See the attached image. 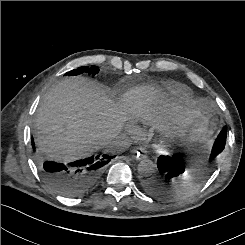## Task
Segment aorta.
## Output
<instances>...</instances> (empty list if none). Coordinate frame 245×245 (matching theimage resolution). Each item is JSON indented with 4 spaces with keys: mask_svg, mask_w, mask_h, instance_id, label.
Wrapping results in <instances>:
<instances>
[{
    "mask_svg": "<svg viewBox=\"0 0 245 245\" xmlns=\"http://www.w3.org/2000/svg\"><path fill=\"white\" fill-rule=\"evenodd\" d=\"M137 169L142 176H151L155 171V165L151 160L144 159L139 162Z\"/></svg>",
    "mask_w": 245,
    "mask_h": 245,
    "instance_id": "aorta-1",
    "label": "aorta"
}]
</instances>
